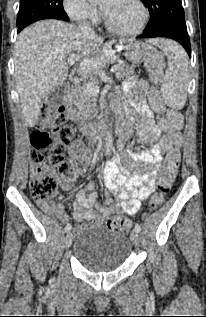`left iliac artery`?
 Here are the masks:
<instances>
[{"mask_svg": "<svg viewBox=\"0 0 206 317\" xmlns=\"http://www.w3.org/2000/svg\"><path fill=\"white\" fill-rule=\"evenodd\" d=\"M135 231L139 233L141 231V227L138 223L135 224Z\"/></svg>", "mask_w": 206, "mask_h": 317, "instance_id": "left-iliac-artery-1", "label": "left iliac artery"}]
</instances>
